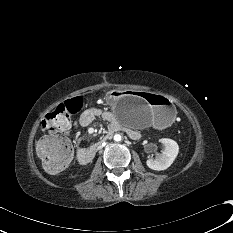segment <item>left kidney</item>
<instances>
[{
	"mask_svg": "<svg viewBox=\"0 0 233 233\" xmlns=\"http://www.w3.org/2000/svg\"><path fill=\"white\" fill-rule=\"evenodd\" d=\"M160 142L163 145L162 153L159 154L156 159H148L146 161L150 169L157 171L165 170L170 167L179 153V146L174 140L162 138Z\"/></svg>",
	"mask_w": 233,
	"mask_h": 233,
	"instance_id": "obj_1",
	"label": "left kidney"
}]
</instances>
